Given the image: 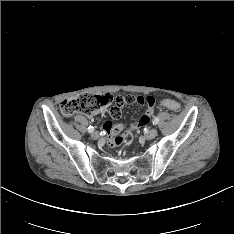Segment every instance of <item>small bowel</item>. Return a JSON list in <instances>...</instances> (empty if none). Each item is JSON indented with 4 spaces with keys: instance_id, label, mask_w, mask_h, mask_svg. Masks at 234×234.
I'll list each match as a JSON object with an SVG mask.
<instances>
[{
    "instance_id": "obj_1",
    "label": "small bowel",
    "mask_w": 234,
    "mask_h": 234,
    "mask_svg": "<svg viewBox=\"0 0 234 234\" xmlns=\"http://www.w3.org/2000/svg\"><path fill=\"white\" fill-rule=\"evenodd\" d=\"M155 102L156 99L153 96L123 94L117 98L116 103H111L109 105L108 114L112 115L113 120L119 121L122 118L120 112H122L123 106L128 104H147L148 109L134 125L135 128L141 127L149 123L150 118L153 115V106ZM103 127L108 134L107 142L110 146H117L125 139V137L121 135L124 127L122 122H106Z\"/></svg>"
}]
</instances>
